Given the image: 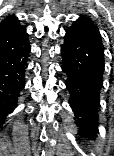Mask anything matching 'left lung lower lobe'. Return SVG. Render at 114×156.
Returning a JSON list of instances; mask_svg holds the SVG:
<instances>
[{"instance_id":"1","label":"left lung lower lobe","mask_w":114,"mask_h":156,"mask_svg":"<svg viewBox=\"0 0 114 156\" xmlns=\"http://www.w3.org/2000/svg\"><path fill=\"white\" fill-rule=\"evenodd\" d=\"M61 54L76 124L83 133L96 135L104 71V46L97 26L80 16L66 32Z\"/></svg>"}]
</instances>
